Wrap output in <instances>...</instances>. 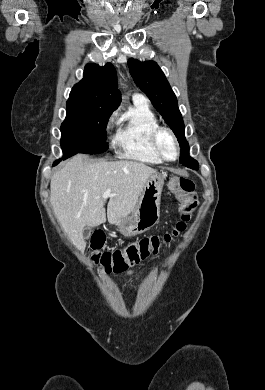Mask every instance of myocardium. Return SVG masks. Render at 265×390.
I'll return each instance as SVG.
<instances>
[{
	"mask_svg": "<svg viewBox=\"0 0 265 390\" xmlns=\"http://www.w3.org/2000/svg\"><path fill=\"white\" fill-rule=\"evenodd\" d=\"M163 134L169 135L174 143L175 156L173 158L167 157L161 149L160 138ZM150 143H151L153 150L156 152V154L160 157V159L162 161L173 162V161L178 159L179 154H180L179 142H178L176 135L174 134V132L170 128L165 127V126H157L155 129L152 130V132L150 134Z\"/></svg>",
	"mask_w": 265,
	"mask_h": 390,
	"instance_id": "obj_1",
	"label": "myocardium"
}]
</instances>
